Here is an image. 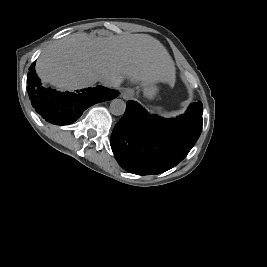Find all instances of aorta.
<instances>
[{"mask_svg":"<svg viewBox=\"0 0 267 267\" xmlns=\"http://www.w3.org/2000/svg\"><path fill=\"white\" fill-rule=\"evenodd\" d=\"M109 109L111 114L115 116L123 115L126 110V103L122 99H113Z\"/></svg>","mask_w":267,"mask_h":267,"instance_id":"1","label":"aorta"}]
</instances>
